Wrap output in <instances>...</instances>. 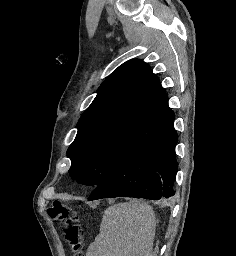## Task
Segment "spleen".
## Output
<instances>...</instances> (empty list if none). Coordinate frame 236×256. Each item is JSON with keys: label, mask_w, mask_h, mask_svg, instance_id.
Returning a JSON list of instances; mask_svg holds the SVG:
<instances>
[{"label": "spleen", "mask_w": 236, "mask_h": 256, "mask_svg": "<svg viewBox=\"0 0 236 256\" xmlns=\"http://www.w3.org/2000/svg\"><path fill=\"white\" fill-rule=\"evenodd\" d=\"M156 218L153 208L131 200L105 210L100 234L86 256H152Z\"/></svg>", "instance_id": "1"}]
</instances>
